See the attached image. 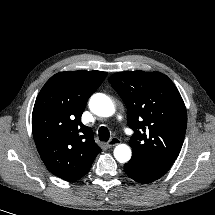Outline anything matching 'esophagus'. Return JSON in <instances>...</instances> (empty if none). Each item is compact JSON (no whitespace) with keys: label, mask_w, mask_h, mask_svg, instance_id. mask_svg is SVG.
I'll return each mask as SVG.
<instances>
[{"label":"esophagus","mask_w":215,"mask_h":215,"mask_svg":"<svg viewBox=\"0 0 215 215\" xmlns=\"http://www.w3.org/2000/svg\"><path fill=\"white\" fill-rule=\"evenodd\" d=\"M121 140L117 137H113L111 140L108 141L107 143V147L111 148L113 146H116L118 144H120Z\"/></svg>","instance_id":"1"}]
</instances>
